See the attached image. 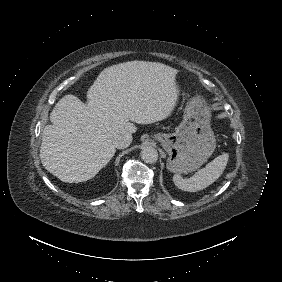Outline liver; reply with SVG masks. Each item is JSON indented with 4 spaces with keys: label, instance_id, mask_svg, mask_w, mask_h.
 <instances>
[{
    "label": "liver",
    "instance_id": "1",
    "mask_svg": "<svg viewBox=\"0 0 282 282\" xmlns=\"http://www.w3.org/2000/svg\"><path fill=\"white\" fill-rule=\"evenodd\" d=\"M177 71L161 62H122L98 74L85 102L74 95L61 98L43 130V166L64 182L95 176L113 157L116 135L134 134L133 122L152 123L172 111Z\"/></svg>",
    "mask_w": 282,
    "mask_h": 282
}]
</instances>
